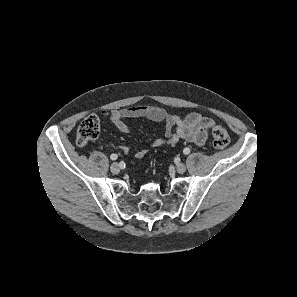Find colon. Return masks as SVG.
Segmentation results:
<instances>
[{
    "label": "colon",
    "mask_w": 297,
    "mask_h": 297,
    "mask_svg": "<svg viewBox=\"0 0 297 297\" xmlns=\"http://www.w3.org/2000/svg\"><path fill=\"white\" fill-rule=\"evenodd\" d=\"M100 121L96 115L86 117L77 130L76 143L79 147H84L87 143L99 135ZM212 144L216 149H224L230 142L228 132L219 125L212 128Z\"/></svg>",
    "instance_id": "1"
}]
</instances>
